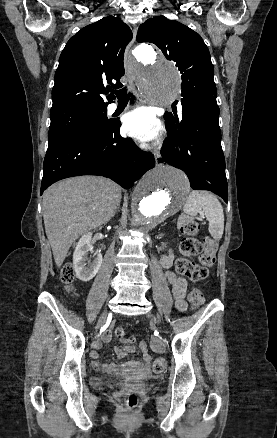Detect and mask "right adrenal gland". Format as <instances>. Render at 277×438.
I'll return each mask as SVG.
<instances>
[{
	"label": "right adrenal gland",
	"mask_w": 277,
	"mask_h": 438,
	"mask_svg": "<svg viewBox=\"0 0 277 438\" xmlns=\"http://www.w3.org/2000/svg\"><path fill=\"white\" fill-rule=\"evenodd\" d=\"M116 212H120V208H117Z\"/></svg>",
	"instance_id": "obj_1"
}]
</instances>
